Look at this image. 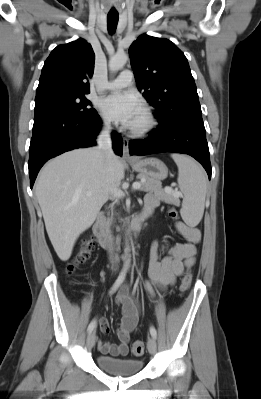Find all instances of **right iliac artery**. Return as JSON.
I'll list each match as a JSON object with an SVG mask.
<instances>
[{
	"mask_svg": "<svg viewBox=\"0 0 261 399\" xmlns=\"http://www.w3.org/2000/svg\"><path fill=\"white\" fill-rule=\"evenodd\" d=\"M125 277H126V269H123V270L120 272V274H119L118 278L116 279L115 283H114L113 286L111 287V290H110V292H109L110 294H113V293L116 292V290L120 287V285H121V284L123 283V281L125 280ZM96 325H97L96 320H95V319L92 320V321L90 322L89 326H88L87 331H88L89 333H91V332L96 328Z\"/></svg>",
	"mask_w": 261,
	"mask_h": 399,
	"instance_id": "1",
	"label": "right iliac artery"
}]
</instances>
